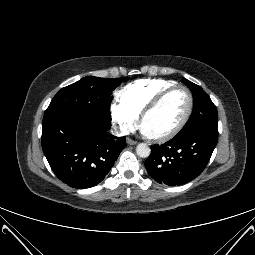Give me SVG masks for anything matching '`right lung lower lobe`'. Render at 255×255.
<instances>
[{"label":"right lung lower lobe","instance_id":"obj_1","mask_svg":"<svg viewBox=\"0 0 255 255\" xmlns=\"http://www.w3.org/2000/svg\"><path fill=\"white\" fill-rule=\"evenodd\" d=\"M101 125L76 113L43 118L42 148L55 175L73 188L100 183L125 147V137L108 134Z\"/></svg>","mask_w":255,"mask_h":255}]
</instances>
